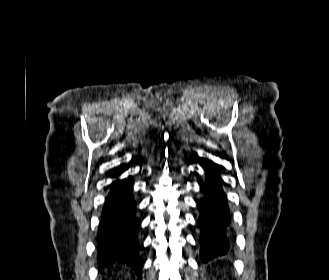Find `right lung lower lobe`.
I'll return each instance as SVG.
<instances>
[{
    "label": "right lung lower lobe",
    "mask_w": 329,
    "mask_h": 280,
    "mask_svg": "<svg viewBox=\"0 0 329 280\" xmlns=\"http://www.w3.org/2000/svg\"><path fill=\"white\" fill-rule=\"evenodd\" d=\"M125 169H119V176ZM136 204L132 192L121 181L116 180L108 194L98 231V261L103 264L118 262L135 269L141 276L142 260L138 256L137 231L139 223L135 218ZM102 267V266H101Z\"/></svg>",
    "instance_id": "obj_1"
}]
</instances>
